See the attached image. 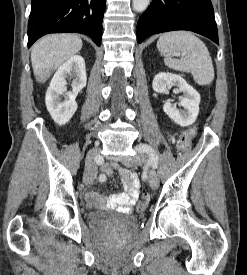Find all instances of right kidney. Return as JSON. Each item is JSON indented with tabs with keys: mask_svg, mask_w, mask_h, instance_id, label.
I'll return each mask as SVG.
<instances>
[{
	"mask_svg": "<svg viewBox=\"0 0 247 275\" xmlns=\"http://www.w3.org/2000/svg\"><path fill=\"white\" fill-rule=\"evenodd\" d=\"M74 76L72 91L66 89V78ZM87 83L85 62L80 55H74L63 63L54 74L47 89L45 102L52 119L59 125L66 124L77 110L76 96ZM65 96L61 101L60 95Z\"/></svg>",
	"mask_w": 247,
	"mask_h": 275,
	"instance_id": "ca27d5eb",
	"label": "right kidney"
}]
</instances>
